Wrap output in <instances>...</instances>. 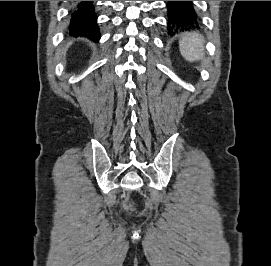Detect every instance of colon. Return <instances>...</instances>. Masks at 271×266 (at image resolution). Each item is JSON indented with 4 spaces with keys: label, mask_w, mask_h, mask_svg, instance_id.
Listing matches in <instances>:
<instances>
[{
    "label": "colon",
    "mask_w": 271,
    "mask_h": 266,
    "mask_svg": "<svg viewBox=\"0 0 271 266\" xmlns=\"http://www.w3.org/2000/svg\"><path fill=\"white\" fill-rule=\"evenodd\" d=\"M127 206H128L129 208H132V207H133V204H132L131 202H128V203H127Z\"/></svg>",
    "instance_id": "obj_1"
}]
</instances>
